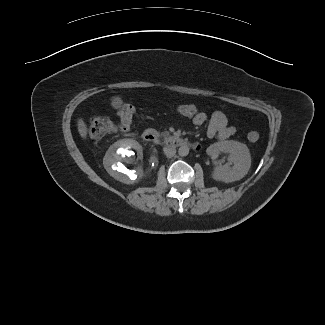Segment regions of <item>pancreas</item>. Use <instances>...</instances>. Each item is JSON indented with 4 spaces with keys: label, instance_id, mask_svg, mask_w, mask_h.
I'll return each mask as SVG.
<instances>
[{
    "label": "pancreas",
    "instance_id": "cf45deb5",
    "mask_svg": "<svg viewBox=\"0 0 325 325\" xmlns=\"http://www.w3.org/2000/svg\"><path fill=\"white\" fill-rule=\"evenodd\" d=\"M162 135H163V136H168L169 133H168V132H162Z\"/></svg>",
    "mask_w": 325,
    "mask_h": 325
}]
</instances>
